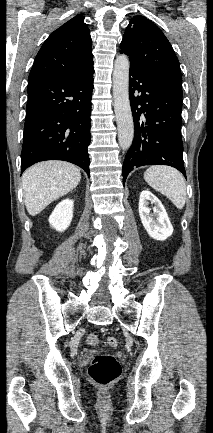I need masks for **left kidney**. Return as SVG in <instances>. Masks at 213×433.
<instances>
[{
	"mask_svg": "<svg viewBox=\"0 0 213 433\" xmlns=\"http://www.w3.org/2000/svg\"><path fill=\"white\" fill-rule=\"evenodd\" d=\"M148 201L154 204L153 213ZM139 216L150 237L164 241L173 233V226L161 201L148 190H143L139 199Z\"/></svg>",
	"mask_w": 213,
	"mask_h": 433,
	"instance_id": "1",
	"label": "left kidney"
}]
</instances>
